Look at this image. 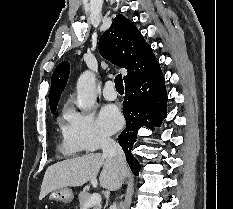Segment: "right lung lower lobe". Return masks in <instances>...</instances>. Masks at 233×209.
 Instances as JSON below:
<instances>
[{
  "label": "right lung lower lobe",
  "mask_w": 233,
  "mask_h": 209,
  "mask_svg": "<svg viewBox=\"0 0 233 209\" xmlns=\"http://www.w3.org/2000/svg\"><path fill=\"white\" fill-rule=\"evenodd\" d=\"M166 103L165 80L159 65L125 88L123 115L126 128L118 136V143L123 148L126 160L135 175H138L140 165L131 154V149L137 139V131L142 126L151 130L160 126L167 113Z\"/></svg>",
  "instance_id": "98d812e1"
}]
</instances>
